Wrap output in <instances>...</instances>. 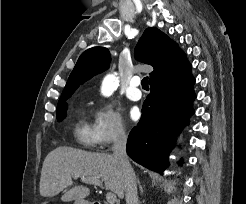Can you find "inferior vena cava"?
Returning <instances> with one entry per match:
<instances>
[{
  "label": "inferior vena cava",
  "instance_id": "1",
  "mask_svg": "<svg viewBox=\"0 0 246 204\" xmlns=\"http://www.w3.org/2000/svg\"><path fill=\"white\" fill-rule=\"evenodd\" d=\"M126 142L127 136L124 130H119L113 143V156L123 171L126 204H139L137 196V180L128 160Z\"/></svg>",
  "mask_w": 246,
  "mask_h": 204
}]
</instances>
